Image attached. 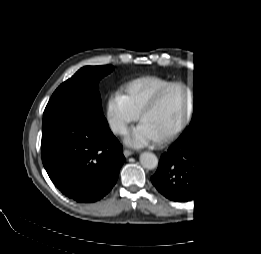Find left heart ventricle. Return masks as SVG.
<instances>
[{
    "label": "left heart ventricle",
    "instance_id": "1",
    "mask_svg": "<svg viewBox=\"0 0 261 254\" xmlns=\"http://www.w3.org/2000/svg\"><path fill=\"white\" fill-rule=\"evenodd\" d=\"M186 101L185 92L175 89L143 118L142 123L157 137L169 133L179 123L186 107Z\"/></svg>",
    "mask_w": 261,
    "mask_h": 254
}]
</instances>
